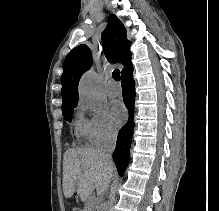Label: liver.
I'll return each instance as SVG.
<instances>
[{"instance_id":"liver-1","label":"liver","mask_w":219,"mask_h":211,"mask_svg":"<svg viewBox=\"0 0 219 211\" xmlns=\"http://www.w3.org/2000/svg\"><path fill=\"white\" fill-rule=\"evenodd\" d=\"M114 171L110 159H105L98 149H87V147L67 149L63 161L65 197H71L74 191H77L81 201H87L94 189L98 191L107 189ZM94 201H96L95 197Z\"/></svg>"}]
</instances>
